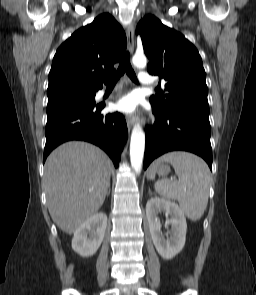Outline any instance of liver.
<instances>
[{
    "label": "liver",
    "mask_w": 256,
    "mask_h": 295,
    "mask_svg": "<svg viewBox=\"0 0 256 295\" xmlns=\"http://www.w3.org/2000/svg\"><path fill=\"white\" fill-rule=\"evenodd\" d=\"M112 162L98 147L71 141L45 163L44 184L52 220L72 234L101 208L110 186Z\"/></svg>",
    "instance_id": "liver-1"
}]
</instances>
